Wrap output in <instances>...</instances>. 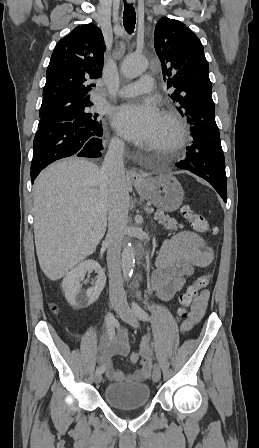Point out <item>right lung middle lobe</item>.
Instances as JSON below:
<instances>
[{
  "label": "right lung middle lobe",
  "mask_w": 259,
  "mask_h": 448,
  "mask_svg": "<svg viewBox=\"0 0 259 448\" xmlns=\"http://www.w3.org/2000/svg\"><path fill=\"white\" fill-rule=\"evenodd\" d=\"M91 105L92 104L51 113L39 114L40 121L38 124V129L62 122H73L76 126L86 129L97 128L102 125V121L99 114L90 110Z\"/></svg>",
  "instance_id": "right-lung-middle-lobe-1"
}]
</instances>
